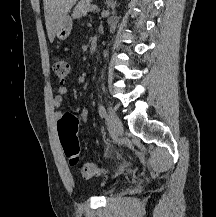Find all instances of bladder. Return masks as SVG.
Wrapping results in <instances>:
<instances>
[{
  "instance_id": "1",
  "label": "bladder",
  "mask_w": 216,
  "mask_h": 217,
  "mask_svg": "<svg viewBox=\"0 0 216 217\" xmlns=\"http://www.w3.org/2000/svg\"><path fill=\"white\" fill-rule=\"evenodd\" d=\"M116 190H117V188H111L105 193V195H107V196L112 195L116 192Z\"/></svg>"
}]
</instances>
